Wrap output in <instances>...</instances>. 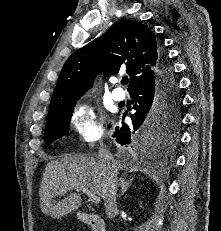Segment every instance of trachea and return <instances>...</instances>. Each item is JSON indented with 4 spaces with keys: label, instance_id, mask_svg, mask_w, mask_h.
<instances>
[{
    "label": "trachea",
    "instance_id": "trachea-1",
    "mask_svg": "<svg viewBox=\"0 0 221 231\" xmlns=\"http://www.w3.org/2000/svg\"><path fill=\"white\" fill-rule=\"evenodd\" d=\"M121 82H122V84H128L129 79L128 78H123Z\"/></svg>",
    "mask_w": 221,
    "mask_h": 231
}]
</instances>
